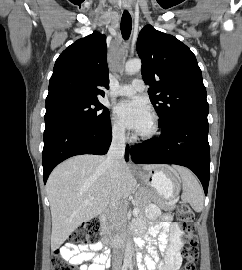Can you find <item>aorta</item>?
Returning <instances> with one entry per match:
<instances>
[{"label":"aorta","instance_id":"aorta-1","mask_svg":"<svg viewBox=\"0 0 242 270\" xmlns=\"http://www.w3.org/2000/svg\"><path fill=\"white\" fill-rule=\"evenodd\" d=\"M141 60L140 59H133L126 63L125 65V72L128 75L135 74L141 70ZM125 256L126 258L130 259L132 257V243L130 239L127 241L126 249H125Z\"/></svg>","mask_w":242,"mask_h":270}]
</instances>
